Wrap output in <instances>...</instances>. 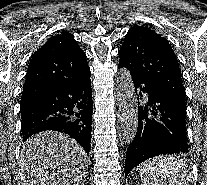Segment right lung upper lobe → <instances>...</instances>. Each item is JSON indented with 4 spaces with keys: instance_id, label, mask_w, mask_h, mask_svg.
I'll return each mask as SVG.
<instances>
[{
    "instance_id": "cb5924a9",
    "label": "right lung upper lobe",
    "mask_w": 207,
    "mask_h": 185,
    "mask_svg": "<svg viewBox=\"0 0 207 185\" xmlns=\"http://www.w3.org/2000/svg\"><path fill=\"white\" fill-rule=\"evenodd\" d=\"M90 74L86 55L69 32L49 39L33 55L21 97V106L52 94L65 84Z\"/></svg>"
}]
</instances>
